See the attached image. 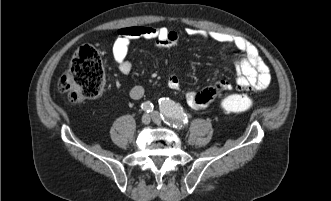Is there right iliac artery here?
Returning <instances> with one entry per match:
<instances>
[{"label":"right iliac artery","instance_id":"right-iliac-artery-1","mask_svg":"<svg viewBox=\"0 0 331 201\" xmlns=\"http://www.w3.org/2000/svg\"><path fill=\"white\" fill-rule=\"evenodd\" d=\"M141 108L144 111H146V112L149 113V112H152L153 111L154 106H153V104L151 102L147 101V102L142 103Z\"/></svg>","mask_w":331,"mask_h":201}]
</instances>
